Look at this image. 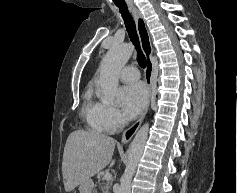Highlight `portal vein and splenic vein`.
I'll use <instances>...</instances> for the list:
<instances>
[{"label":"portal vein and splenic vein","instance_id":"1","mask_svg":"<svg viewBox=\"0 0 237 193\" xmlns=\"http://www.w3.org/2000/svg\"><path fill=\"white\" fill-rule=\"evenodd\" d=\"M103 179L106 181H110L112 179V175L110 173H106L104 174Z\"/></svg>","mask_w":237,"mask_h":193}]
</instances>
